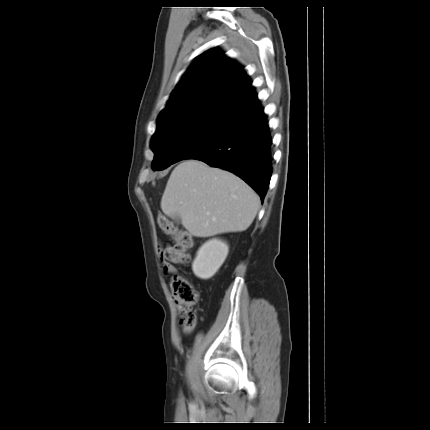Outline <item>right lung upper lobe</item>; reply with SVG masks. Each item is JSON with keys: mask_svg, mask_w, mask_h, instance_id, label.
<instances>
[{"mask_svg": "<svg viewBox=\"0 0 430 430\" xmlns=\"http://www.w3.org/2000/svg\"><path fill=\"white\" fill-rule=\"evenodd\" d=\"M207 100H224L237 115L258 101L243 67L217 48L210 49L195 59L172 92L158 119Z\"/></svg>", "mask_w": 430, "mask_h": 430, "instance_id": "right-lung-upper-lobe-1", "label": "right lung upper lobe"}]
</instances>
